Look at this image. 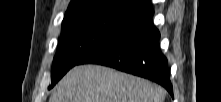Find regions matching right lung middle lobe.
<instances>
[{
	"instance_id": "right-lung-middle-lobe-1",
	"label": "right lung middle lobe",
	"mask_w": 221,
	"mask_h": 102,
	"mask_svg": "<svg viewBox=\"0 0 221 102\" xmlns=\"http://www.w3.org/2000/svg\"><path fill=\"white\" fill-rule=\"evenodd\" d=\"M142 12L111 1H95L68 11L53 60L51 86L73 66Z\"/></svg>"
}]
</instances>
